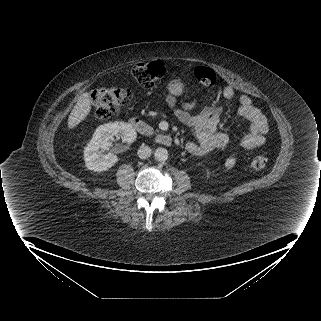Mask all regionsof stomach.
Masks as SVG:
<instances>
[{
	"instance_id": "stomach-1",
	"label": "stomach",
	"mask_w": 321,
	"mask_h": 321,
	"mask_svg": "<svg viewBox=\"0 0 321 321\" xmlns=\"http://www.w3.org/2000/svg\"><path fill=\"white\" fill-rule=\"evenodd\" d=\"M167 90L174 96H180L184 92V84L178 78L171 79L167 85Z\"/></svg>"
}]
</instances>
